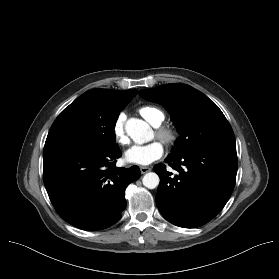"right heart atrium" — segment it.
Listing matches in <instances>:
<instances>
[{"instance_id":"right-heart-atrium-1","label":"right heart atrium","mask_w":279,"mask_h":279,"mask_svg":"<svg viewBox=\"0 0 279 279\" xmlns=\"http://www.w3.org/2000/svg\"><path fill=\"white\" fill-rule=\"evenodd\" d=\"M112 130L114 138L118 144L126 145L128 143V137L125 131L123 118L121 116L115 121Z\"/></svg>"}]
</instances>
